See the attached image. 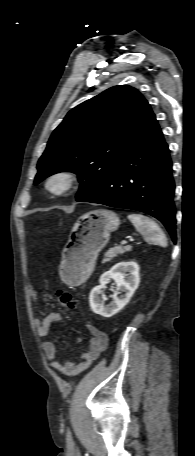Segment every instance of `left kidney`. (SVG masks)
I'll return each mask as SVG.
<instances>
[{
    "mask_svg": "<svg viewBox=\"0 0 195 456\" xmlns=\"http://www.w3.org/2000/svg\"><path fill=\"white\" fill-rule=\"evenodd\" d=\"M110 279H114L116 282V292L113 295V301L109 305H104L100 295ZM99 282L100 285L94 287L90 292V307L94 313L109 318L127 305L138 288L140 282L139 265L133 261L117 263L101 275ZM120 291L124 294L118 296L121 293Z\"/></svg>",
    "mask_w": 195,
    "mask_h": 456,
    "instance_id": "5707ae66",
    "label": "left kidney"
}]
</instances>
